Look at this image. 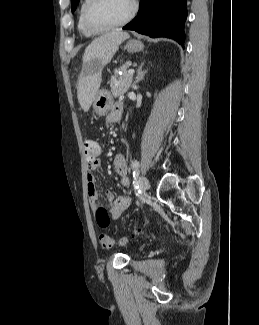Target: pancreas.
Wrapping results in <instances>:
<instances>
[{
  "label": "pancreas",
  "mask_w": 259,
  "mask_h": 325,
  "mask_svg": "<svg viewBox=\"0 0 259 325\" xmlns=\"http://www.w3.org/2000/svg\"><path fill=\"white\" fill-rule=\"evenodd\" d=\"M129 64H125L118 69L122 74L115 73L110 80L111 93L114 97L123 95L131 86L133 74L128 73ZM117 71V72H118Z\"/></svg>",
  "instance_id": "1"
}]
</instances>
